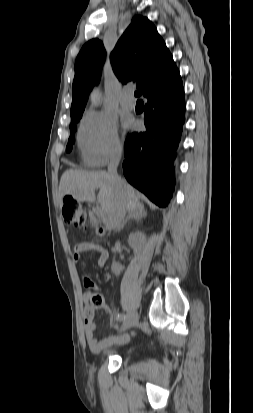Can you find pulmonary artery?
Here are the masks:
<instances>
[{"label":"pulmonary artery","mask_w":253,"mask_h":413,"mask_svg":"<svg viewBox=\"0 0 253 413\" xmlns=\"http://www.w3.org/2000/svg\"><path fill=\"white\" fill-rule=\"evenodd\" d=\"M120 103L123 107L127 109H133L136 106V100L133 97L132 90L131 89H124L121 97H120Z\"/></svg>","instance_id":"1"}]
</instances>
